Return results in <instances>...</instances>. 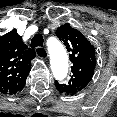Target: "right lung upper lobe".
I'll return each instance as SVG.
<instances>
[{"label": "right lung upper lobe", "mask_w": 117, "mask_h": 117, "mask_svg": "<svg viewBox=\"0 0 117 117\" xmlns=\"http://www.w3.org/2000/svg\"><path fill=\"white\" fill-rule=\"evenodd\" d=\"M35 57V51L23 43L16 29L0 37L1 93L14 95L23 89Z\"/></svg>", "instance_id": "1"}]
</instances>
